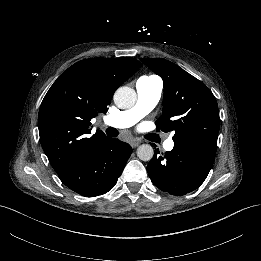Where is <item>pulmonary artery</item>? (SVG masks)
<instances>
[{
    "mask_svg": "<svg viewBox=\"0 0 261 261\" xmlns=\"http://www.w3.org/2000/svg\"><path fill=\"white\" fill-rule=\"evenodd\" d=\"M136 90V104L127 111L107 116L104 120L106 125L115 128H128L135 124L156 107L162 96L163 83L161 80L137 81ZM174 145L171 138H165L162 141L165 150H172Z\"/></svg>",
    "mask_w": 261,
    "mask_h": 261,
    "instance_id": "pulmonary-artery-1",
    "label": "pulmonary artery"
}]
</instances>
